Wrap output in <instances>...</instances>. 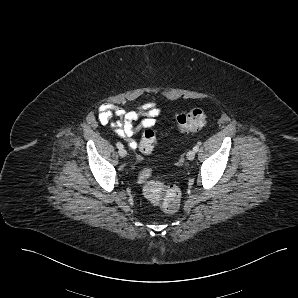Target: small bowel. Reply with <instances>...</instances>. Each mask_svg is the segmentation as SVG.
Here are the masks:
<instances>
[{"mask_svg":"<svg viewBox=\"0 0 298 298\" xmlns=\"http://www.w3.org/2000/svg\"><path fill=\"white\" fill-rule=\"evenodd\" d=\"M160 112L159 106L153 101L129 111L111 103H104L99 107L98 120L102 125L111 124L115 135L127 141L132 148H136L137 142L133 136L138 129L153 127ZM141 116L144 118L135 127L134 122Z\"/></svg>","mask_w":298,"mask_h":298,"instance_id":"small-bowel-1","label":"small bowel"}]
</instances>
